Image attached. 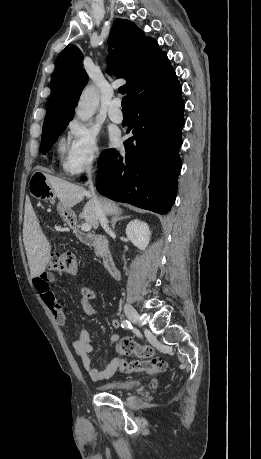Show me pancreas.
<instances>
[{"label":"pancreas","instance_id":"cf45deb5","mask_svg":"<svg viewBox=\"0 0 261 459\" xmlns=\"http://www.w3.org/2000/svg\"><path fill=\"white\" fill-rule=\"evenodd\" d=\"M95 254L96 255H101L100 253V247L98 245L95 246Z\"/></svg>","mask_w":261,"mask_h":459}]
</instances>
